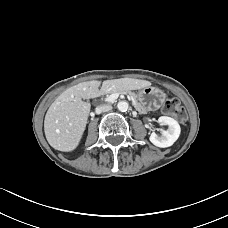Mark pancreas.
<instances>
[{
    "label": "pancreas",
    "instance_id": "obj_1",
    "mask_svg": "<svg viewBox=\"0 0 228 228\" xmlns=\"http://www.w3.org/2000/svg\"><path fill=\"white\" fill-rule=\"evenodd\" d=\"M108 93H120V91H115L112 90ZM128 94H130L132 96L131 102L133 103V105L135 106V108L143 114H147L148 110L146 108H142L141 105L139 104V102L136 100V96L134 95V92H127Z\"/></svg>",
    "mask_w": 228,
    "mask_h": 228
}]
</instances>
